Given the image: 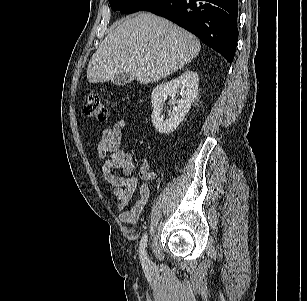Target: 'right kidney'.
Wrapping results in <instances>:
<instances>
[{
    "mask_svg": "<svg viewBox=\"0 0 307 301\" xmlns=\"http://www.w3.org/2000/svg\"><path fill=\"white\" fill-rule=\"evenodd\" d=\"M199 78L197 73L193 71H185L179 77L158 85L153 89L151 102L153 107L152 123L155 129L161 134L173 132L182 122L186 114L191 108L198 91ZM178 88L185 89L182 98L175 99V94ZM168 96L172 97L170 105H173L172 113H169V118L165 121L161 117L163 104ZM176 104V105H175Z\"/></svg>",
    "mask_w": 307,
    "mask_h": 301,
    "instance_id": "ca27d5eb",
    "label": "right kidney"
}]
</instances>
